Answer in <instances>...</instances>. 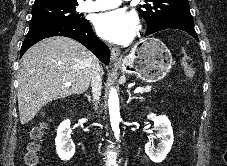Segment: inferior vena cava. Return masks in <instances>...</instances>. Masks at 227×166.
<instances>
[{"instance_id": "1", "label": "inferior vena cava", "mask_w": 227, "mask_h": 166, "mask_svg": "<svg viewBox=\"0 0 227 166\" xmlns=\"http://www.w3.org/2000/svg\"><path fill=\"white\" fill-rule=\"evenodd\" d=\"M100 69L98 68L91 80L92 85V93H93V101L95 104V107H97L101 95V88H102V80H101V73Z\"/></svg>"}]
</instances>
